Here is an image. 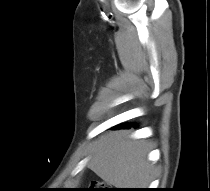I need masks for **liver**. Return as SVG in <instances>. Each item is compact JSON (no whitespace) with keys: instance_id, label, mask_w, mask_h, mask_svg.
<instances>
[{"instance_id":"liver-1","label":"liver","mask_w":210,"mask_h":191,"mask_svg":"<svg viewBox=\"0 0 210 191\" xmlns=\"http://www.w3.org/2000/svg\"><path fill=\"white\" fill-rule=\"evenodd\" d=\"M148 152L145 141L133 140L124 131L114 132L102 136L95 144L88 167L117 188L147 186L152 174Z\"/></svg>"}]
</instances>
